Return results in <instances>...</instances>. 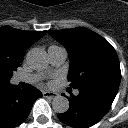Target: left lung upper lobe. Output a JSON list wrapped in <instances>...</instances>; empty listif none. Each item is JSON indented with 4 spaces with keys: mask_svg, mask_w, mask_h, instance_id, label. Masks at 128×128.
I'll list each match as a JSON object with an SVG mask.
<instances>
[{
    "mask_svg": "<svg viewBox=\"0 0 128 128\" xmlns=\"http://www.w3.org/2000/svg\"><path fill=\"white\" fill-rule=\"evenodd\" d=\"M48 33L68 50V80L72 88L80 89L98 82L120 84L118 56L103 37L83 27L51 30Z\"/></svg>",
    "mask_w": 128,
    "mask_h": 128,
    "instance_id": "left-lung-upper-lobe-1",
    "label": "left lung upper lobe"
}]
</instances>
